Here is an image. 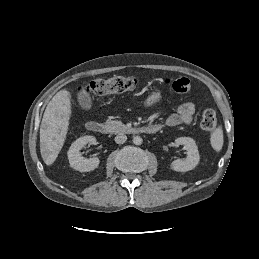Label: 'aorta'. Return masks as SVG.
Segmentation results:
<instances>
[{"label":"aorta","mask_w":259,"mask_h":259,"mask_svg":"<svg viewBox=\"0 0 259 259\" xmlns=\"http://www.w3.org/2000/svg\"><path fill=\"white\" fill-rule=\"evenodd\" d=\"M142 142H143V140H142V138H141L140 136H134V137H133V143H134L135 145H141Z\"/></svg>","instance_id":"aorta-1"}]
</instances>
